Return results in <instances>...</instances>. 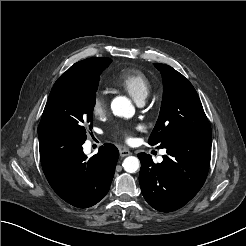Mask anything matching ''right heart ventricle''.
<instances>
[{"instance_id":"right-heart-ventricle-1","label":"right heart ventricle","mask_w":246,"mask_h":246,"mask_svg":"<svg viewBox=\"0 0 246 246\" xmlns=\"http://www.w3.org/2000/svg\"><path fill=\"white\" fill-rule=\"evenodd\" d=\"M114 83L128 92L137 102L145 100L151 91L150 80L138 70H127L119 73Z\"/></svg>"}]
</instances>
